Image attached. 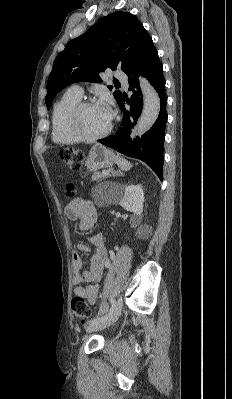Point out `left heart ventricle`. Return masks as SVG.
Segmentation results:
<instances>
[{
	"label": "left heart ventricle",
	"mask_w": 232,
	"mask_h": 399,
	"mask_svg": "<svg viewBox=\"0 0 232 399\" xmlns=\"http://www.w3.org/2000/svg\"><path fill=\"white\" fill-rule=\"evenodd\" d=\"M110 125L100 106L94 104L85 108L78 119V128L86 136H97L104 133Z\"/></svg>",
	"instance_id": "b2bd125f"
}]
</instances>
